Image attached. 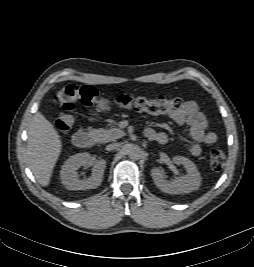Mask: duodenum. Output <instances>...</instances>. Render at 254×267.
Returning a JSON list of instances; mask_svg holds the SVG:
<instances>
[{
	"label": "duodenum",
	"mask_w": 254,
	"mask_h": 267,
	"mask_svg": "<svg viewBox=\"0 0 254 267\" xmlns=\"http://www.w3.org/2000/svg\"><path fill=\"white\" fill-rule=\"evenodd\" d=\"M73 143L79 148H91L95 145V138L86 131H79L74 134Z\"/></svg>",
	"instance_id": "duodenum-1"
}]
</instances>
